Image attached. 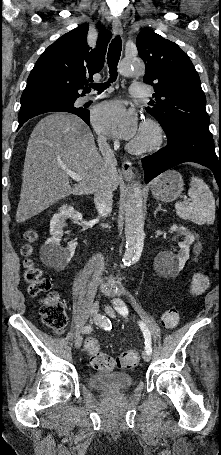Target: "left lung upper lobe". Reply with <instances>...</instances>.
I'll use <instances>...</instances> for the list:
<instances>
[{"label": "left lung upper lobe", "mask_w": 221, "mask_h": 455, "mask_svg": "<svg viewBox=\"0 0 221 455\" xmlns=\"http://www.w3.org/2000/svg\"><path fill=\"white\" fill-rule=\"evenodd\" d=\"M136 46L146 66L143 81L155 91V101L146 111L161 124L167 137L186 126L209 129L206 98L188 55L150 29L138 34Z\"/></svg>", "instance_id": "5c2ea615"}]
</instances>
